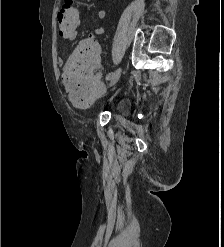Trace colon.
<instances>
[{"mask_svg": "<svg viewBox=\"0 0 224 247\" xmlns=\"http://www.w3.org/2000/svg\"><path fill=\"white\" fill-rule=\"evenodd\" d=\"M60 35L71 36L79 26V15L73 0H65L57 15ZM63 82L71 101L79 107L90 106L102 88V65L96 42H82L63 69Z\"/></svg>", "mask_w": 224, "mask_h": 247, "instance_id": "5ec220e1", "label": "colon"}]
</instances>
